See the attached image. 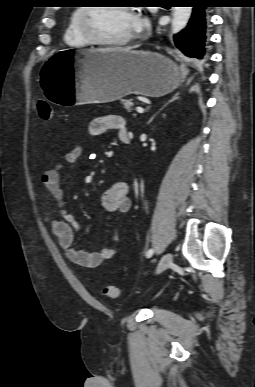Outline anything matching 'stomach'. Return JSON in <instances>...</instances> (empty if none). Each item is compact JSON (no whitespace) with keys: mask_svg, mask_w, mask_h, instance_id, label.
<instances>
[{"mask_svg":"<svg viewBox=\"0 0 255 387\" xmlns=\"http://www.w3.org/2000/svg\"><path fill=\"white\" fill-rule=\"evenodd\" d=\"M180 71L169 58L149 51L85 50L66 46L43 64V95L59 108H87L128 94L160 97L179 85Z\"/></svg>","mask_w":255,"mask_h":387,"instance_id":"obj_1","label":"stomach"}]
</instances>
